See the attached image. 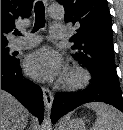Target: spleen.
I'll list each match as a JSON object with an SVG mask.
<instances>
[{
  "label": "spleen",
  "instance_id": "spleen-1",
  "mask_svg": "<svg viewBox=\"0 0 123 130\" xmlns=\"http://www.w3.org/2000/svg\"><path fill=\"white\" fill-rule=\"evenodd\" d=\"M96 112L97 119L91 130H123V117L113 106L93 102L86 104Z\"/></svg>",
  "mask_w": 123,
  "mask_h": 130
}]
</instances>
